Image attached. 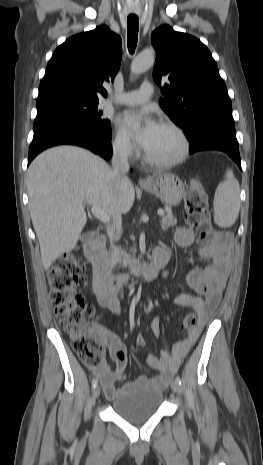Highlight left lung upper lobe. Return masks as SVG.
<instances>
[{
	"label": "left lung upper lobe",
	"mask_w": 263,
	"mask_h": 465,
	"mask_svg": "<svg viewBox=\"0 0 263 465\" xmlns=\"http://www.w3.org/2000/svg\"><path fill=\"white\" fill-rule=\"evenodd\" d=\"M157 58L155 82L168 79L160 106L188 139L212 118L234 121L231 100L207 47L196 37L176 32L169 25L151 35Z\"/></svg>",
	"instance_id": "obj_1"
}]
</instances>
